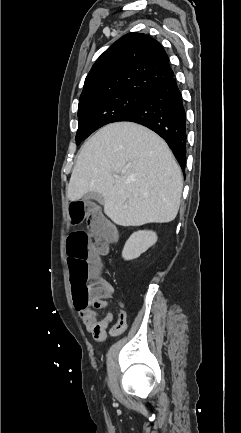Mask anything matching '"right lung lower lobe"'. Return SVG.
Listing matches in <instances>:
<instances>
[{
  "instance_id": "right-lung-lower-lobe-1",
  "label": "right lung lower lobe",
  "mask_w": 241,
  "mask_h": 433,
  "mask_svg": "<svg viewBox=\"0 0 241 433\" xmlns=\"http://www.w3.org/2000/svg\"><path fill=\"white\" fill-rule=\"evenodd\" d=\"M121 121L148 127L169 145L181 168L186 164V114L181 92L173 76L150 87L142 104Z\"/></svg>"
}]
</instances>
